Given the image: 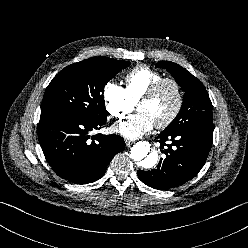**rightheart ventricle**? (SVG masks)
<instances>
[{"label":"right heart ventricle","mask_w":248,"mask_h":248,"mask_svg":"<svg viewBox=\"0 0 248 248\" xmlns=\"http://www.w3.org/2000/svg\"><path fill=\"white\" fill-rule=\"evenodd\" d=\"M163 75L147 66H139L124 76V90L133 103L138 102L147 89Z\"/></svg>","instance_id":"obj_1"}]
</instances>
